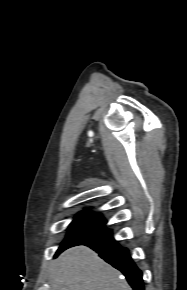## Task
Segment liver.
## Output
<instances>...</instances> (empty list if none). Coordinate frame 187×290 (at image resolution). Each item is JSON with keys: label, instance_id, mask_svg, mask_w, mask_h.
I'll return each instance as SVG.
<instances>
[{"label": "liver", "instance_id": "obj_1", "mask_svg": "<svg viewBox=\"0 0 187 290\" xmlns=\"http://www.w3.org/2000/svg\"><path fill=\"white\" fill-rule=\"evenodd\" d=\"M51 290H132L121 273L86 246L63 252L50 271Z\"/></svg>", "mask_w": 187, "mask_h": 290}]
</instances>
